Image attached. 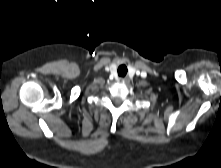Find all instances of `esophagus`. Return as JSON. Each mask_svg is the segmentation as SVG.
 I'll list each match as a JSON object with an SVG mask.
<instances>
[{"label":"esophagus","mask_w":221,"mask_h":168,"mask_svg":"<svg viewBox=\"0 0 221 168\" xmlns=\"http://www.w3.org/2000/svg\"><path fill=\"white\" fill-rule=\"evenodd\" d=\"M120 80L123 82H128L129 79L125 77V78H120Z\"/></svg>","instance_id":"1"}]
</instances>
